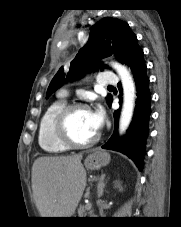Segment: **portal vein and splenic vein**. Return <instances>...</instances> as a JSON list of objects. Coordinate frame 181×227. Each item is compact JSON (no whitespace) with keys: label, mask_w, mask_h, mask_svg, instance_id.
Listing matches in <instances>:
<instances>
[{"label":"portal vein and splenic vein","mask_w":181,"mask_h":227,"mask_svg":"<svg viewBox=\"0 0 181 227\" xmlns=\"http://www.w3.org/2000/svg\"><path fill=\"white\" fill-rule=\"evenodd\" d=\"M91 208H92L91 202H87V203H86V209H87V210H90Z\"/></svg>","instance_id":"obj_1"}]
</instances>
